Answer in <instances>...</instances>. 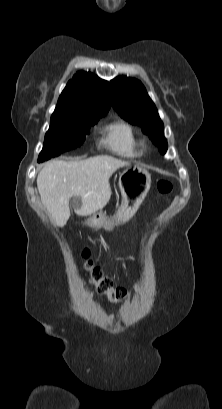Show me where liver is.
I'll use <instances>...</instances> for the list:
<instances>
[{
	"label": "liver",
	"instance_id": "liver-1",
	"mask_svg": "<svg viewBox=\"0 0 222 409\" xmlns=\"http://www.w3.org/2000/svg\"><path fill=\"white\" fill-rule=\"evenodd\" d=\"M126 161L108 155L84 160L48 162L37 176L42 204L54 223L63 227L69 217V200L76 197L75 213L89 216L102 209L111 198L109 179Z\"/></svg>",
	"mask_w": 222,
	"mask_h": 409
}]
</instances>
